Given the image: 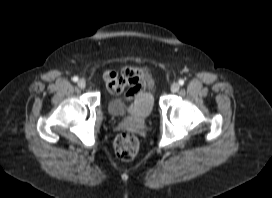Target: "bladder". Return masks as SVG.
<instances>
[{"label": "bladder", "mask_w": 272, "mask_h": 198, "mask_svg": "<svg viewBox=\"0 0 272 198\" xmlns=\"http://www.w3.org/2000/svg\"><path fill=\"white\" fill-rule=\"evenodd\" d=\"M109 113L115 118L137 117L146 118L153 109V97L145 94L126 104L121 98L112 97L107 100Z\"/></svg>", "instance_id": "bladder-1"}]
</instances>
